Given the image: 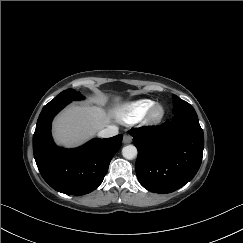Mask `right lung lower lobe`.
<instances>
[{
	"label": "right lung lower lobe",
	"instance_id": "right-lung-lower-lobe-1",
	"mask_svg": "<svg viewBox=\"0 0 243 243\" xmlns=\"http://www.w3.org/2000/svg\"><path fill=\"white\" fill-rule=\"evenodd\" d=\"M67 103L54 102L44 106L33 135V152L43 179L56 191L84 195L103 181L109 163L121 147L122 135L93 139L75 149H64L53 142L51 122Z\"/></svg>",
	"mask_w": 243,
	"mask_h": 243
}]
</instances>
